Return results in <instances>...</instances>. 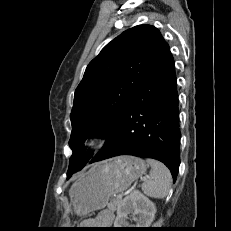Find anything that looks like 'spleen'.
<instances>
[{
    "label": "spleen",
    "instance_id": "3e777b00",
    "mask_svg": "<svg viewBox=\"0 0 231 231\" xmlns=\"http://www.w3.org/2000/svg\"><path fill=\"white\" fill-rule=\"evenodd\" d=\"M151 166L148 178L142 184V191L152 198H165L169 192L172 176L168 168L154 159H147Z\"/></svg>",
    "mask_w": 231,
    "mask_h": 231
}]
</instances>
